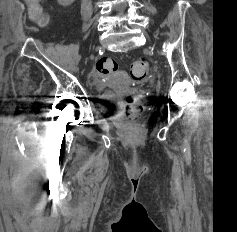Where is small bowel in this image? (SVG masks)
I'll use <instances>...</instances> for the list:
<instances>
[{
	"mask_svg": "<svg viewBox=\"0 0 237 232\" xmlns=\"http://www.w3.org/2000/svg\"><path fill=\"white\" fill-rule=\"evenodd\" d=\"M91 79L96 83V85L99 89H102L105 86V82L97 80L95 75H92Z\"/></svg>",
	"mask_w": 237,
	"mask_h": 232,
	"instance_id": "c3829d8e",
	"label": "small bowel"
}]
</instances>
